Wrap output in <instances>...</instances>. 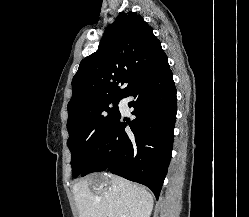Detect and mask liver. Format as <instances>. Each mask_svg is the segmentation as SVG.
Instances as JSON below:
<instances>
[{"mask_svg": "<svg viewBox=\"0 0 249 217\" xmlns=\"http://www.w3.org/2000/svg\"><path fill=\"white\" fill-rule=\"evenodd\" d=\"M73 194L79 217H150L154 203L145 188L107 173L77 182Z\"/></svg>", "mask_w": 249, "mask_h": 217, "instance_id": "1", "label": "liver"}]
</instances>
